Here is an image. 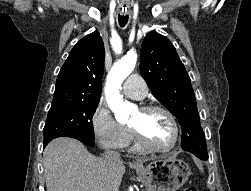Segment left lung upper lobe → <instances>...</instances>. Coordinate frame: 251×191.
I'll use <instances>...</instances> for the list:
<instances>
[{
  "instance_id": "5c2ea615",
  "label": "left lung upper lobe",
  "mask_w": 251,
  "mask_h": 191,
  "mask_svg": "<svg viewBox=\"0 0 251 191\" xmlns=\"http://www.w3.org/2000/svg\"><path fill=\"white\" fill-rule=\"evenodd\" d=\"M140 71L153 96L177 117L182 127V149L207 160L205 134L190 77L165 36L154 31L146 35L141 46Z\"/></svg>"
}]
</instances>
